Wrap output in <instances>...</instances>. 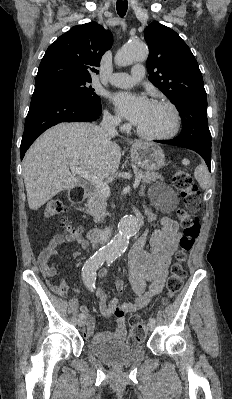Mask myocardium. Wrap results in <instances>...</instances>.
<instances>
[{"label": "myocardium", "mask_w": 232, "mask_h": 399, "mask_svg": "<svg viewBox=\"0 0 232 399\" xmlns=\"http://www.w3.org/2000/svg\"><path fill=\"white\" fill-rule=\"evenodd\" d=\"M153 104H157V105H164L167 106L171 109L172 113H173V118H174V123H173V127L172 129L163 135H159V136H150V135H146L144 133H142L136 126L134 128V132L135 134L142 140L144 141H148V142H161V141H166L169 140L171 138H173L174 136H176L181 128V114L179 109L177 108V106L169 101L166 100H153L152 101Z\"/></svg>", "instance_id": "obj_1"}]
</instances>
